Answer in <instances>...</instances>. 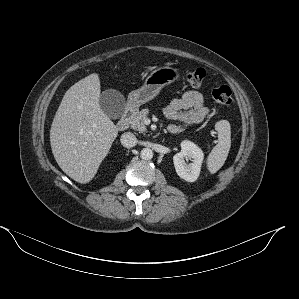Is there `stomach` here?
I'll list each match as a JSON object with an SVG mask.
<instances>
[{
  "instance_id": "stomach-1",
  "label": "stomach",
  "mask_w": 299,
  "mask_h": 299,
  "mask_svg": "<svg viewBox=\"0 0 299 299\" xmlns=\"http://www.w3.org/2000/svg\"><path fill=\"white\" fill-rule=\"evenodd\" d=\"M178 77L179 72L176 68L170 66L157 68L146 78L141 88L129 94V106L138 109L142 104L154 99L163 87L175 82Z\"/></svg>"
}]
</instances>
